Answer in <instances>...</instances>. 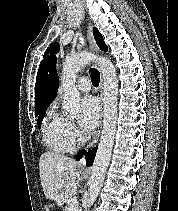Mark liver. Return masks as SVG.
I'll list each match as a JSON object with an SVG mask.
<instances>
[{"mask_svg": "<svg viewBox=\"0 0 178 211\" xmlns=\"http://www.w3.org/2000/svg\"><path fill=\"white\" fill-rule=\"evenodd\" d=\"M40 180L45 198L62 207L77 190L80 178L78 163L54 152H45L39 160ZM63 184L58 189L57 185ZM50 206L46 207L49 211Z\"/></svg>", "mask_w": 178, "mask_h": 211, "instance_id": "liver-1", "label": "liver"}]
</instances>
